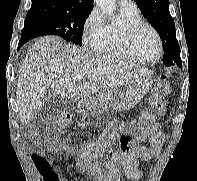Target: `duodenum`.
Masks as SVG:
<instances>
[{"instance_id": "410a0bca", "label": "duodenum", "mask_w": 197, "mask_h": 181, "mask_svg": "<svg viewBox=\"0 0 197 181\" xmlns=\"http://www.w3.org/2000/svg\"><path fill=\"white\" fill-rule=\"evenodd\" d=\"M75 106H76V109L79 110V109H81L83 107V104L80 103V102H76Z\"/></svg>"}]
</instances>
